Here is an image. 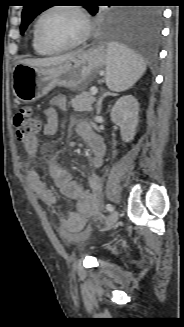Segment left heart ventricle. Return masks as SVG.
Segmentation results:
<instances>
[{
    "mask_svg": "<svg viewBox=\"0 0 184 327\" xmlns=\"http://www.w3.org/2000/svg\"><path fill=\"white\" fill-rule=\"evenodd\" d=\"M84 26L79 16L67 9H58L47 14L40 25L42 37L54 46L76 41L83 33Z\"/></svg>",
    "mask_w": 184,
    "mask_h": 327,
    "instance_id": "obj_1",
    "label": "left heart ventricle"
}]
</instances>
